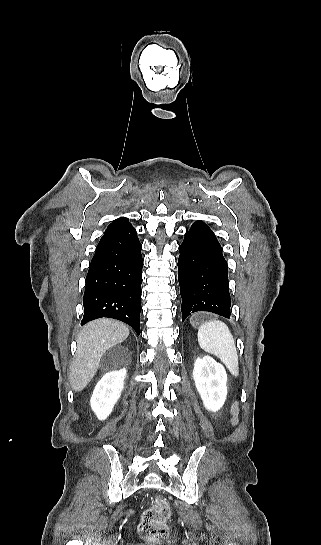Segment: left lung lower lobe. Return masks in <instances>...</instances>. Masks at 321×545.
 Returning <instances> with one entry per match:
<instances>
[{
    "mask_svg": "<svg viewBox=\"0 0 321 545\" xmlns=\"http://www.w3.org/2000/svg\"><path fill=\"white\" fill-rule=\"evenodd\" d=\"M178 280L182 320L198 311L230 318L228 266L210 228L195 222L179 247Z\"/></svg>",
    "mask_w": 321,
    "mask_h": 545,
    "instance_id": "1",
    "label": "left lung lower lobe"
}]
</instances>
